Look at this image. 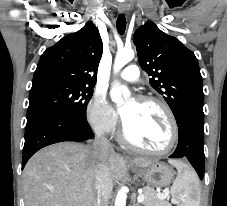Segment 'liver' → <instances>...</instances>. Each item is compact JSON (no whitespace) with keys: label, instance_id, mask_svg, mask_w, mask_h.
<instances>
[{"label":"liver","instance_id":"obj_1","mask_svg":"<svg viewBox=\"0 0 227 206\" xmlns=\"http://www.w3.org/2000/svg\"><path fill=\"white\" fill-rule=\"evenodd\" d=\"M101 161L93 146L74 142L50 145L31 157L23 171L25 206H93L96 197L95 170ZM140 167L154 160L135 159ZM105 164L112 181L125 176L124 158L111 152Z\"/></svg>","mask_w":227,"mask_h":206}]
</instances>
